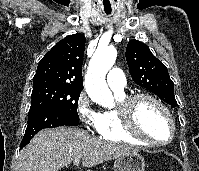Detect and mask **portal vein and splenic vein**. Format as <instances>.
Returning <instances> with one entry per match:
<instances>
[{
  "mask_svg": "<svg viewBox=\"0 0 199 171\" xmlns=\"http://www.w3.org/2000/svg\"><path fill=\"white\" fill-rule=\"evenodd\" d=\"M79 162H80V159H75V160L73 161V164H74V165H77V164H79Z\"/></svg>",
  "mask_w": 199,
  "mask_h": 171,
  "instance_id": "portal-vein-and-splenic-vein-1",
  "label": "portal vein and splenic vein"
}]
</instances>
